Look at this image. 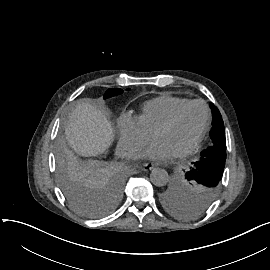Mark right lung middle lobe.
<instances>
[{
    "label": "right lung middle lobe",
    "mask_w": 270,
    "mask_h": 270,
    "mask_svg": "<svg viewBox=\"0 0 270 270\" xmlns=\"http://www.w3.org/2000/svg\"><path fill=\"white\" fill-rule=\"evenodd\" d=\"M122 92L110 88L104 99ZM57 179L67 203L87 217L105 214L119 200L123 186L120 170L107 160L90 163L61 148L57 155ZM101 198L106 199V205L99 203Z\"/></svg>",
    "instance_id": "dd1d6c3e"
}]
</instances>
